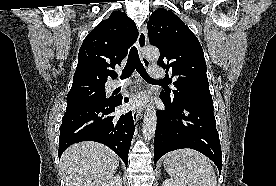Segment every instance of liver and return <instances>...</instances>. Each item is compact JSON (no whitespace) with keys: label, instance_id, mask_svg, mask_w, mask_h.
I'll return each instance as SVG.
<instances>
[{"label":"liver","instance_id":"obj_1","mask_svg":"<svg viewBox=\"0 0 276 186\" xmlns=\"http://www.w3.org/2000/svg\"><path fill=\"white\" fill-rule=\"evenodd\" d=\"M118 166L116 153L92 141L71 145L60 162L65 186H103L114 176Z\"/></svg>","mask_w":276,"mask_h":186}]
</instances>
